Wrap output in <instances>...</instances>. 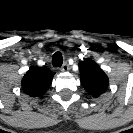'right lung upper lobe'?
Returning <instances> with one entry per match:
<instances>
[{"instance_id":"right-lung-upper-lobe-1","label":"right lung upper lobe","mask_w":133,"mask_h":133,"mask_svg":"<svg viewBox=\"0 0 133 133\" xmlns=\"http://www.w3.org/2000/svg\"><path fill=\"white\" fill-rule=\"evenodd\" d=\"M53 76L47 68L31 67L21 81L22 90L31 97H40L48 90Z\"/></svg>"}]
</instances>
